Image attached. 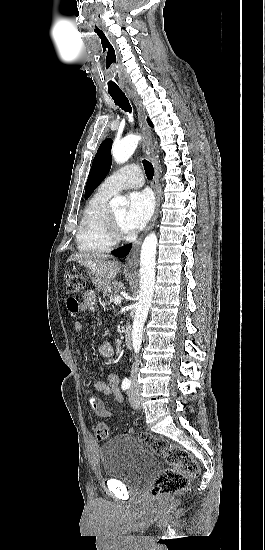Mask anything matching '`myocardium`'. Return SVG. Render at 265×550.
<instances>
[{"mask_svg": "<svg viewBox=\"0 0 265 550\" xmlns=\"http://www.w3.org/2000/svg\"><path fill=\"white\" fill-rule=\"evenodd\" d=\"M106 228L108 235L110 239L113 241V243L119 242L124 240L127 237V232L122 229L119 222L117 221L116 217L114 216L113 212L109 209L107 220H106Z\"/></svg>", "mask_w": 265, "mask_h": 550, "instance_id": "f54148a6", "label": "myocardium"}]
</instances>
